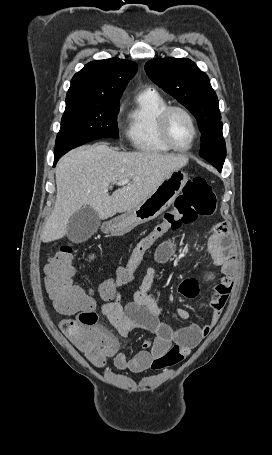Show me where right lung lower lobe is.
Here are the masks:
<instances>
[{
    "mask_svg": "<svg viewBox=\"0 0 272 455\" xmlns=\"http://www.w3.org/2000/svg\"><path fill=\"white\" fill-rule=\"evenodd\" d=\"M61 156H62V155H60V154H55L54 165L56 164V162L59 160V158H60Z\"/></svg>",
    "mask_w": 272,
    "mask_h": 455,
    "instance_id": "right-lung-lower-lobe-1",
    "label": "right lung lower lobe"
}]
</instances>
